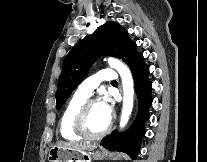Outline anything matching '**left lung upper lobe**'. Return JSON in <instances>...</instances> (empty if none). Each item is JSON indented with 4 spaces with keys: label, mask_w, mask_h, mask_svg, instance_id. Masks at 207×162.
<instances>
[{
    "label": "left lung upper lobe",
    "mask_w": 207,
    "mask_h": 162,
    "mask_svg": "<svg viewBox=\"0 0 207 162\" xmlns=\"http://www.w3.org/2000/svg\"><path fill=\"white\" fill-rule=\"evenodd\" d=\"M100 55L114 56L128 65L139 55L136 44L119 24L108 21L90 36L78 42L67 54L56 93V109H60L72 91L87 74Z\"/></svg>",
    "instance_id": "left-lung-upper-lobe-1"
}]
</instances>
